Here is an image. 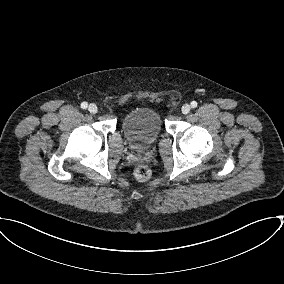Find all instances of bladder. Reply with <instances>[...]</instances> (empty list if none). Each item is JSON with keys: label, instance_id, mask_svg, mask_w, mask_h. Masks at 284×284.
<instances>
[{"label": "bladder", "instance_id": "1", "mask_svg": "<svg viewBox=\"0 0 284 284\" xmlns=\"http://www.w3.org/2000/svg\"><path fill=\"white\" fill-rule=\"evenodd\" d=\"M122 130L134 149L144 150L150 147L160 136L162 120L155 109L138 107L124 116Z\"/></svg>", "mask_w": 284, "mask_h": 284}]
</instances>
